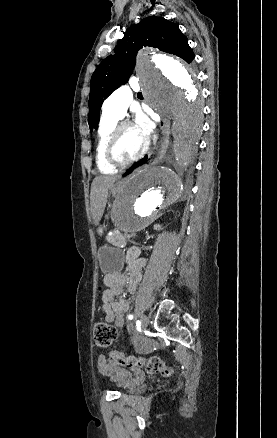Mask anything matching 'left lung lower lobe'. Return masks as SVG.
<instances>
[{"label":"left lung lower lobe","instance_id":"obj_1","mask_svg":"<svg viewBox=\"0 0 277 438\" xmlns=\"http://www.w3.org/2000/svg\"><path fill=\"white\" fill-rule=\"evenodd\" d=\"M145 161H146V158L140 160L139 162L134 163L133 166L130 167L124 175L130 174L135 169V167L142 165Z\"/></svg>","mask_w":277,"mask_h":438}]
</instances>
